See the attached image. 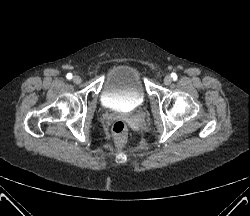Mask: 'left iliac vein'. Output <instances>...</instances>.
Masks as SVG:
<instances>
[{"label": "left iliac vein", "instance_id": "left-iliac-vein-1", "mask_svg": "<svg viewBox=\"0 0 250 216\" xmlns=\"http://www.w3.org/2000/svg\"><path fill=\"white\" fill-rule=\"evenodd\" d=\"M171 83H172L171 76H169V75L165 76V78H164V84L165 85H170Z\"/></svg>", "mask_w": 250, "mask_h": 216}]
</instances>
